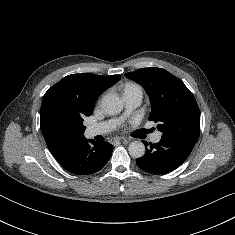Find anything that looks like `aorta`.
I'll use <instances>...</instances> for the list:
<instances>
[{"label": "aorta", "instance_id": "762f6f07", "mask_svg": "<svg viewBox=\"0 0 235 235\" xmlns=\"http://www.w3.org/2000/svg\"><path fill=\"white\" fill-rule=\"evenodd\" d=\"M102 110L109 115H116L123 109L122 99L115 93L106 94L101 100ZM128 151L131 157L141 158L145 154V145L141 141H133L129 144Z\"/></svg>", "mask_w": 235, "mask_h": 235}]
</instances>
